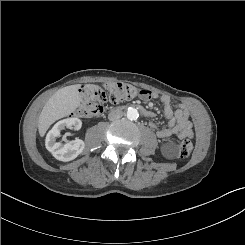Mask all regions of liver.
<instances>
[{"label": "liver", "instance_id": "6515ba94", "mask_svg": "<svg viewBox=\"0 0 245 245\" xmlns=\"http://www.w3.org/2000/svg\"><path fill=\"white\" fill-rule=\"evenodd\" d=\"M79 88V84L61 88L48 99L38 120V131L41 137L55 121L68 116L79 107L81 103Z\"/></svg>", "mask_w": 245, "mask_h": 245}]
</instances>
